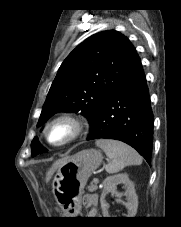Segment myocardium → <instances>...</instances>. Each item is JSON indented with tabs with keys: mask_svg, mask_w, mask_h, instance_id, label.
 Returning a JSON list of instances; mask_svg holds the SVG:
<instances>
[{
	"mask_svg": "<svg viewBox=\"0 0 181 227\" xmlns=\"http://www.w3.org/2000/svg\"><path fill=\"white\" fill-rule=\"evenodd\" d=\"M59 123H65L70 127V134L63 141L54 143L49 140L50 129ZM86 120L83 116L72 112H64L48 121L43 129V137L47 144L53 147H63L81 137L86 130Z\"/></svg>",
	"mask_w": 181,
	"mask_h": 227,
	"instance_id": "1",
	"label": "myocardium"
}]
</instances>
